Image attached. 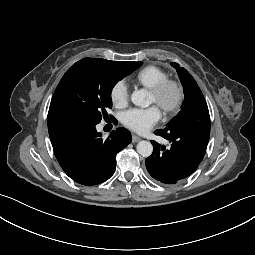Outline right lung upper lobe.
<instances>
[{
	"mask_svg": "<svg viewBox=\"0 0 255 255\" xmlns=\"http://www.w3.org/2000/svg\"><path fill=\"white\" fill-rule=\"evenodd\" d=\"M98 60H104V59H99V58H85L80 60L79 62L75 63L74 65L80 64L82 62H87V61H98ZM114 62H125V61H114Z\"/></svg>",
	"mask_w": 255,
	"mask_h": 255,
	"instance_id": "1",
	"label": "right lung upper lobe"
}]
</instances>
